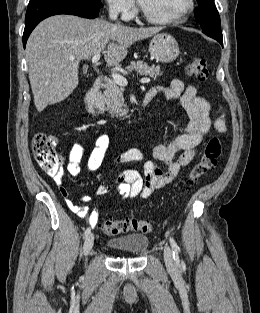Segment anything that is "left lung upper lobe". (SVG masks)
Here are the masks:
<instances>
[{
  "mask_svg": "<svg viewBox=\"0 0 260 313\" xmlns=\"http://www.w3.org/2000/svg\"><path fill=\"white\" fill-rule=\"evenodd\" d=\"M198 8L195 9V18L198 20L202 32L210 37L222 38L220 17L214 0H197Z\"/></svg>",
  "mask_w": 260,
  "mask_h": 313,
  "instance_id": "obj_1",
  "label": "left lung upper lobe"
}]
</instances>
